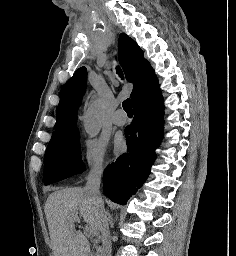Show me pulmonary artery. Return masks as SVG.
<instances>
[{"instance_id": "1", "label": "pulmonary artery", "mask_w": 236, "mask_h": 256, "mask_svg": "<svg viewBox=\"0 0 236 256\" xmlns=\"http://www.w3.org/2000/svg\"><path fill=\"white\" fill-rule=\"evenodd\" d=\"M113 123L117 126H123L126 124L127 120H123V119H120V118H117V117H114L112 119Z\"/></svg>"}]
</instances>
